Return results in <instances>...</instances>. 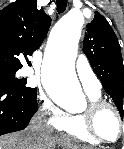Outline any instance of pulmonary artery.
Instances as JSON below:
<instances>
[{
  "label": "pulmonary artery",
  "instance_id": "obj_1",
  "mask_svg": "<svg viewBox=\"0 0 124 149\" xmlns=\"http://www.w3.org/2000/svg\"><path fill=\"white\" fill-rule=\"evenodd\" d=\"M76 72L87 93L98 94L101 92V83L84 55H81L77 61ZM29 73V71L26 72V74Z\"/></svg>",
  "mask_w": 124,
  "mask_h": 149
}]
</instances>
